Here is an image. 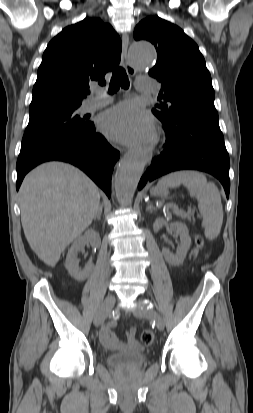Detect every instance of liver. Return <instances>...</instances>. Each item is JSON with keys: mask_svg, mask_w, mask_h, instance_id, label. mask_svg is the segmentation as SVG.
Masks as SVG:
<instances>
[{"mask_svg": "<svg viewBox=\"0 0 253 413\" xmlns=\"http://www.w3.org/2000/svg\"><path fill=\"white\" fill-rule=\"evenodd\" d=\"M21 223L31 249L54 267L61 253L92 223L100 193L82 171L63 162L39 165L19 190Z\"/></svg>", "mask_w": 253, "mask_h": 413, "instance_id": "liver-1", "label": "liver"}]
</instances>
